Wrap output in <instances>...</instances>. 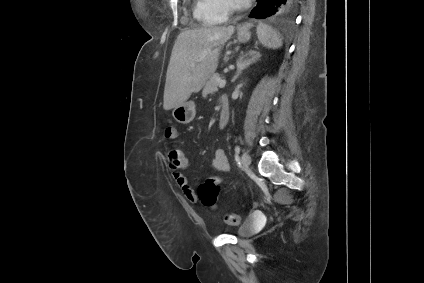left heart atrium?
I'll return each mask as SVG.
<instances>
[{"instance_id":"left-heart-atrium-1","label":"left heart atrium","mask_w":424,"mask_h":283,"mask_svg":"<svg viewBox=\"0 0 424 283\" xmlns=\"http://www.w3.org/2000/svg\"><path fill=\"white\" fill-rule=\"evenodd\" d=\"M249 0H235L236 3L238 4H245L247 3Z\"/></svg>"}]
</instances>
